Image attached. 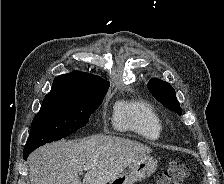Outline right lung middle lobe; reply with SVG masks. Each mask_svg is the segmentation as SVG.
I'll return each mask as SVG.
<instances>
[{"label":"right lung middle lobe","mask_w":224,"mask_h":184,"mask_svg":"<svg viewBox=\"0 0 224 184\" xmlns=\"http://www.w3.org/2000/svg\"><path fill=\"white\" fill-rule=\"evenodd\" d=\"M108 89L76 98H46L32 121L24 149H36L60 140L85 126Z\"/></svg>","instance_id":"obj_1"}]
</instances>
